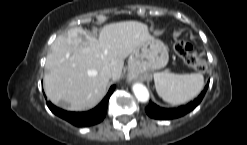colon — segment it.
<instances>
[{
	"instance_id": "obj_1",
	"label": "colon",
	"mask_w": 247,
	"mask_h": 145,
	"mask_svg": "<svg viewBox=\"0 0 247 145\" xmlns=\"http://www.w3.org/2000/svg\"><path fill=\"white\" fill-rule=\"evenodd\" d=\"M173 47L185 64L199 71L207 70L206 62L196 56L194 47L191 43L185 40H177L174 42Z\"/></svg>"
}]
</instances>
